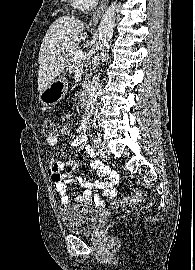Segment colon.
I'll list each match as a JSON object with an SVG mask.
<instances>
[{"mask_svg":"<svg viewBox=\"0 0 195 270\" xmlns=\"http://www.w3.org/2000/svg\"><path fill=\"white\" fill-rule=\"evenodd\" d=\"M40 128L41 132L45 137H51L55 132V125L54 122L51 119L43 118L40 120ZM143 193L136 192L133 195L124 197L118 201L119 205H130V204H136L143 200Z\"/></svg>","mask_w":195,"mask_h":270,"instance_id":"5ec220e1","label":"colon"}]
</instances>
